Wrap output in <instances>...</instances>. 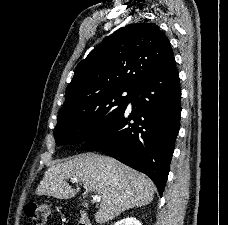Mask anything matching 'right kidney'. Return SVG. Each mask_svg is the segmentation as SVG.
Segmentation results:
<instances>
[{"label": "right kidney", "instance_id": "right-kidney-1", "mask_svg": "<svg viewBox=\"0 0 228 225\" xmlns=\"http://www.w3.org/2000/svg\"><path fill=\"white\" fill-rule=\"evenodd\" d=\"M115 225H142L140 221H137L135 217H127V219H122V221H117Z\"/></svg>", "mask_w": 228, "mask_h": 225}]
</instances>
